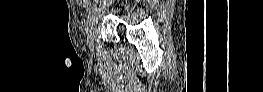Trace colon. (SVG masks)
<instances>
[{
	"label": "colon",
	"mask_w": 263,
	"mask_h": 92,
	"mask_svg": "<svg viewBox=\"0 0 263 92\" xmlns=\"http://www.w3.org/2000/svg\"><path fill=\"white\" fill-rule=\"evenodd\" d=\"M78 2L86 5V4H88V3H91L92 1H89V0H80V1H78Z\"/></svg>",
	"instance_id": "obj_1"
}]
</instances>
